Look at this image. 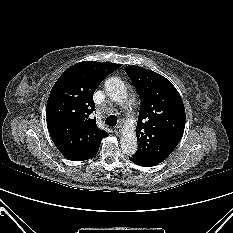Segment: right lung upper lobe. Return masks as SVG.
I'll return each instance as SVG.
<instances>
[{"instance_id": "cb5924a9", "label": "right lung upper lobe", "mask_w": 233, "mask_h": 233, "mask_svg": "<svg viewBox=\"0 0 233 233\" xmlns=\"http://www.w3.org/2000/svg\"><path fill=\"white\" fill-rule=\"evenodd\" d=\"M121 65L84 61L69 67L54 84L46 106L50 136L72 161L92 158L108 133L96 126L89 115L95 105L93 93L100 83Z\"/></svg>"}]
</instances>
